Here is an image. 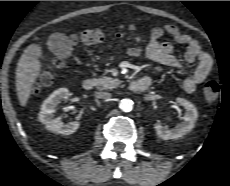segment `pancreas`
<instances>
[{
	"label": "pancreas",
	"mask_w": 230,
	"mask_h": 186,
	"mask_svg": "<svg viewBox=\"0 0 230 186\" xmlns=\"http://www.w3.org/2000/svg\"><path fill=\"white\" fill-rule=\"evenodd\" d=\"M98 90H110L118 87L121 81L111 77H102L96 80Z\"/></svg>",
	"instance_id": "pancreas-1"
}]
</instances>
